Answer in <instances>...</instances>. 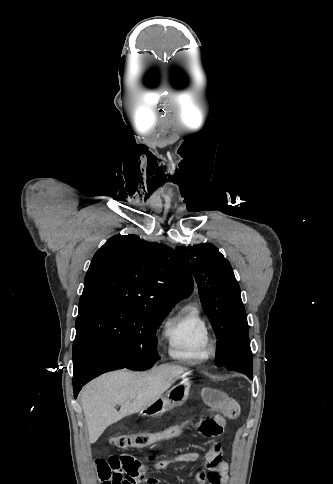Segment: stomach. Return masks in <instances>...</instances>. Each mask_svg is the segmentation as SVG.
I'll return each instance as SVG.
<instances>
[{"label":"stomach","instance_id":"0dacf381","mask_svg":"<svg viewBox=\"0 0 333 484\" xmlns=\"http://www.w3.org/2000/svg\"><path fill=\"white\" fill-rule=\"evenodd\" d=\"M190 386L191 383L188 379L181 381L144 411L149 415H158L182 405L188 398Z\"/></svg>","mask_w":333,"mask_h":484}]
</instances>
